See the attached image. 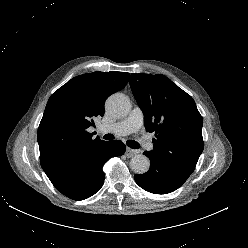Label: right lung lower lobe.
I'll return each mask as SVG.
<instances>
[{"instance_id":"obj_1","label":"right lung lower lobe","mask_w":248,"mask_h":248,"mask_svg":"<svg viewBox=\"0 0 248 248\" xmlns=\"http://www.w3.org/2000/svg\"><path fill=\"white\" fill-rule=\"evenodd\" d=\"M122 141H101L90 147L79 149L53 173L47 175L55 188L74 200H84L94 195L104 183L102 170L105 162L125 153Z\"/></svg>"}]
</instances>
